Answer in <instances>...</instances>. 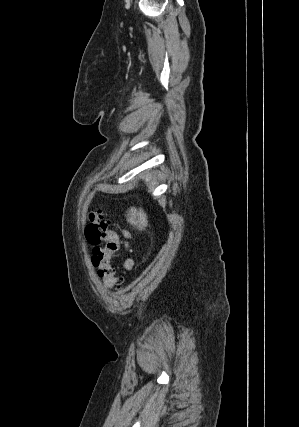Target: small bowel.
<instances>
[{
    "label": "small bowel",
    "mask_w": 299,
    "mask_h": 427,
    "mask_svg": "<svg viewBox=\"0 0 299 427\" xmlns=\"http://www.w3.org/2000/svg\"><path fill=\"white\" fill-rule=\"evenodd\" d=\"M123 235L126 237V238H128L129 237V233L127 232V231H123ZM132 266V261L131 260H128L127 262H126V267L127 268H130Z\"/></svg>",
    "instance_id": "obj_1"
}]
</instances>
